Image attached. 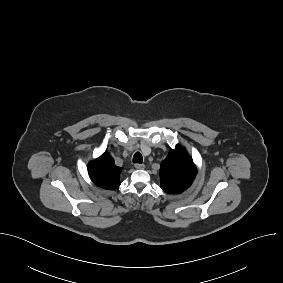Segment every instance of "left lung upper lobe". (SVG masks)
<instances>
[{
  "instance_id": "1",
  "label": "left lung upper lobe",
  "mask_w": 283,
  "mask_h": 283,
  "mask_svg": "<svg viewBox=\"0 0 283 283\" xmlns=\"http://www.w3.org/2000/svg\"><path fill=\"white\" fill-rule=\"evenodd\" d=\"M197 174L192 158L177 145L170 150L167 158L161 163V188L167 193H181L193 182Z\"/></svg>"
}]
</instances>
